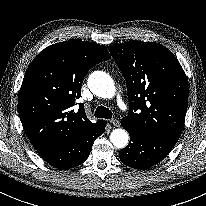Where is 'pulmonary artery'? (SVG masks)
Segmentation results:
<instances>
[{"instance_id": "1", "label": "pulmonary artery", "mask_w": 206, "mask_h": 206, "mask_svg": "<svg viewBox=\"0 0 206 206\" xmlns=\"http://www.w3.org/2000/svg\"><path fill=\"white\" fill-rule=\"evenodd\" d=\"M117 103L121 109H123V110L126 109V106L120 97L117 98Z\"/></svg>"}]
</instances>
